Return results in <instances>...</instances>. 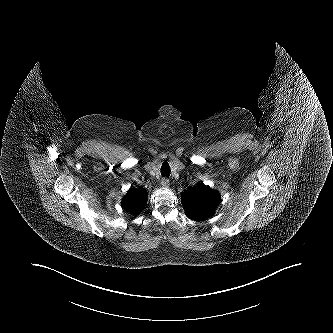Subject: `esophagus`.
<instances>
[{
    "mask_svg": "<svg viewBox=\"0 0 333 333\" xmlns=\"http://www.w3.org/2000/svg\"><path fill=\"white\" fill-rule=\"evenodd\" d=\"M161 185H162L163 187H169V180H168L167 178H163V179L161 180Z\"/></svg>",
    "mask_w": 333,
    "mask_h": 333,
    "instance_id": "esophagus-1",
    "label": "esophagus"
}]
</instances>
